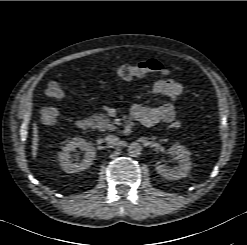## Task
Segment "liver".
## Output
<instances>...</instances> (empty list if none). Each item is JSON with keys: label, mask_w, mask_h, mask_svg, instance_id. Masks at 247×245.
Wrapping results in <instances>:
<instances>
[{"label": "liver", "mask_w": 247, "mask_h": 245, "mask_svg": "<svg viewBox=\"0 0 247 245\" xmlns=\"http://www.w3.org/2000/svg\"><path fill=\"white\" fill-rule=\"evenodd\" d=\"M38 142H39L38 129L35 124L33 127V139H32V157L34 159L36 158V155H37Z\"/></svg>", "instance_id": "1"}]
</instances>
